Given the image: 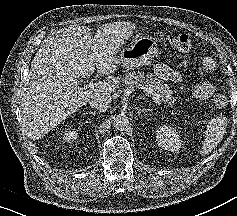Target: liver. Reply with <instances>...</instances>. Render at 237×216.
<instances>
[{
  "instance_id": "obj_1",
  "label": "liver",
  "mask_w": 237,
  "mask_h": 216,
  "mask_svg": "<svg viewBox=\"0 0 237 216\" xmlns=\"http://www.w3.org/2000/svg\"><path fill=\"white\" fill-rule=\"evenodd\" d=\"M114 46L95 43L90 28L71 26L45 42L38 51L22 88L24 124L31 135L47 133L86 104L94 92L106 87L83 89L78 78L95 70L108 75L116 69Z\"/></svg>"
}]
</instances>
